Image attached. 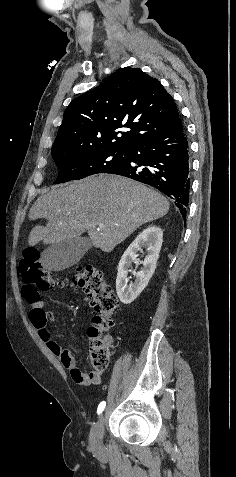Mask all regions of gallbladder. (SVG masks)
<instances>
[{
    "label": "gallbladder",
    "instance_id": "bac80fb5",
    "mask_svg": "<svg viewBox=\"0 0 236 477\" xmlns=\"http://www.w3.org/2000/svg\"><path fill=\"white\" fill-rule=\"evenodd\" d=\"M91 246L90 239L85 237L66 239L46 248L41 261L47 269L61 271L76 264Z\"/></svg>",
    "mask_w": 236,
    "mask_h": 477
}]
</instances>
